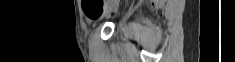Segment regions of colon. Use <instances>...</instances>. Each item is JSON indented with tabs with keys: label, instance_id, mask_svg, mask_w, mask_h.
I'll return each mask as SVG.
<instances>
[{
	"label": "colon",
	"instance_id": "5ec220e1",
	"mask_svg": "<svg viewBox=\"0 0 235 62\" xmlns=\"http://www.w3.org/2000/svg\"><path fill=\"white\" fill-rule=\"evenodd\" d=\"M83 7L86 15L92 17L98 11V0H84Z\"/></svg>",
	"mask_w": 235,
	"mask_h": 62
}]
</instances>
